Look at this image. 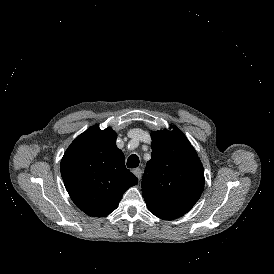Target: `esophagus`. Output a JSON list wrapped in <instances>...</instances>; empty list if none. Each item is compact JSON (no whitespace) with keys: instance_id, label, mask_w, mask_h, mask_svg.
<instances>
[{"instance_id":"1","label":"esophagus","mask_w":274,"mask_h":274,"mask_svg":"<svg viewBox=\"0 0 274 274\" xmlns=\"http://www.w3.org/2000/svg\"><path fill=\"white\" fill-rule=\"evenodd\" d=\"M133 174H135V176L140 179L141 175H142V170L140 168H135L132 170Z\"/></svg>"}]
</instances>
